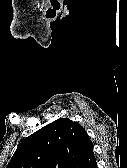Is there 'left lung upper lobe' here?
Here are the masks:
<instances>
[{
  "mask_svg": "<svg viewBox=\"0 0 127 168\" xmlns=\"http://www.w3.org/2000/svg\"><path fill=\"white\" fill-rule=\"evenodd\" d=\"M88 139L78 123L57 119L21 141L7 168H76Z\"/></svg>",
  "mask_w": 127,
  "mask_h": 168,
  "instance_id": "5c2ea615",
  "label": "left lung upper lobe"
}]
</instances>
